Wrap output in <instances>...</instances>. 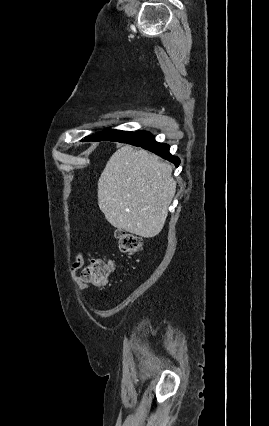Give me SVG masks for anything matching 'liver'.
<instances>
[{"label": "liver", "mask_w": 269, "mask_h": 426, "mask_svg": "<svg viewBox=\"0 0 269 426\" xmlns=\"http://www.w3.org/2000/svg\"><path fill=\"white\" fill-rule=\"evenodd\" d=\"M172 170L146 150L120 147L98 180V205L106 220L144 238L158 235L176 191Z\"/></svg>", "instance_id": "obj_1"}]
</instances>
